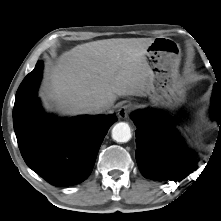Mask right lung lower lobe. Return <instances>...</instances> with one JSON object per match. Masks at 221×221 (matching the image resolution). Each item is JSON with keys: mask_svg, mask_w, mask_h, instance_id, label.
I'll return each mask as SVG.
<instances>
[{"mask_svg": "<svg viewBox=\"0 0 221 221\" xmlns=\"http://www.w3.org/2000/svg\"><path fill=\"white\" fill-rule=\"evenodd\" d=\"M43 62L39 60L18 88L13 124L26 164L54 186L84 181L91 173L101 143L117 121L115 115L57 119L45 114L36 98ZM23 116L19 118V114Z\"/></svg>", "mask_w": 221, "mask_h": 221, "instance_id": "1", "label": "right lung lower lobe"}]
</instances>
